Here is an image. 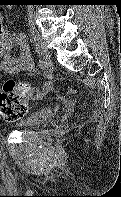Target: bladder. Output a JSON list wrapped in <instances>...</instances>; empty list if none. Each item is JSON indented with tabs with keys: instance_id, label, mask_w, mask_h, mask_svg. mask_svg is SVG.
Wrapping results in <instances>:
<instances>
[{
	"instance_id": "bladder-1",
	"label": "bladder",
	"mask_w": 121,
	"mask_h": 197,
	"mask_svg": "<svg viewBox=\"0 0 121 197\" xmlns=\"http://www.w3.org/2000/svg\"><path fill=\"white\" fill-rule=\"evenodd\" d=\"M52 117V113L49 109H42L27 119H24L18 122L15 127L18 128H31L36 126L39 122L44 121L46 119H50Z\"/></svg>"
}]
</instances>
